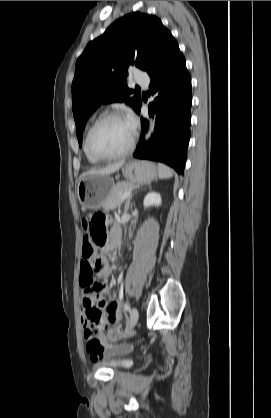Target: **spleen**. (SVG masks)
Wrapping results in <instances>:
<instances>
[{
	"mask_svg": "<svg viewBox=\"0 0 271 418\" xmlns=\"http://www.w3.org/2000/svg\"><path fill=\"white\" fill-rule=\"evenodd\" d=\"M158 173L160 179H168L173 176L172 169L162 163H158Z\"/></svg>",
	"mask_w": 271,
	"mask_h": 418,
	"instance_id": "3e777b00",
	"label": "spleen"
}]
</instances>
